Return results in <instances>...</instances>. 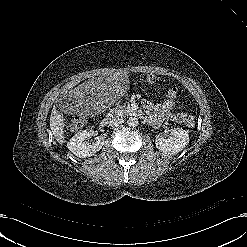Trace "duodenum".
<instances>
[{"label": "duodenum", "mask_w": 247, "mask_h": 247, "mask_svg": "<svg viewBox=\"0 0 247 247\" xmlns=\"http://www.w3.org/2000/svg\"><path fill=\"white\" fill-rule=\"evenodd\" d=\"M144 103V102H143ZM144 106V104H143ZM145 108V107H144ZM113 120V117H106L103 121H102V126H106L109 122H111Z\"/></svg>", "instance_id": "obj_1"}]
</instances>
